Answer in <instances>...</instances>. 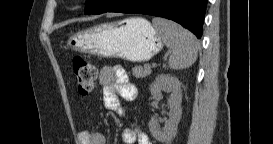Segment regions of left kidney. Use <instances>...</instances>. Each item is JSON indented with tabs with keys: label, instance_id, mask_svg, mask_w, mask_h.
<instances>
[{
	"label": "left kidney",
	"instance_id": "1",
	"mask_svg": "<svg viewBox=\"0 0 273 144\" xmlns=\"http://www.w3.org/2000/svg\"><path fill=\"white\" fill-rule=\"evenodd\" d=\"M162 91L171 93L168 99L170 108L169 119L165 123V127L160 129L155 116L149 121V130L151 135L160 142L168 143L177 133V127L181 119L182 109V92L180 81L169 74L158 75L151 85V95L154 97L160 96Z\"/></svg>",
	"mask_w": 273,
	"mask_h": 144
}]
</instances>
